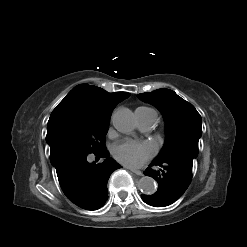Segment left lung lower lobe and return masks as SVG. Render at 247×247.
<instances>
[{
	"label": "left lung lower lobe",
	"mask_w": 247,
	"mask_h": 247,
	"mask_svg": "<svg viewBox=\"0 0 247 247\" xmlns=\"http://www.w3.org/2000/svg\"><path fill=\"white\" fill-rule=\"evenodd\" d=\"M193 159L184 155H174L165 159H155L144 174L153 177L159 184L153 195H141L142 200L154 207L174 203L188 188L192 177ZM162 169L156 171L152 167Z\"/></svg>",
	"instance_id": "left-lung-lower-lobe-1"
}]
</instances>
